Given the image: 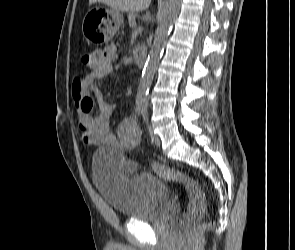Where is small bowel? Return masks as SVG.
<instances>
[{
  "label": "small bowel",
  "instance_id": "1",
  "mask_svg": "<svg viewBox=\"0 0 295 250\" xmlns=\"http://www.w3.org/2000/svg\"><path fill=\"white\" fill-rule=\"evenodd\" d=\"M117 49L114 45L107 46L104 50H95L92 54V62L89 65L91 71L84 78H76L72 85V95L78 114V126L82 133L83 142L87 146L106 145L130 150L135 147L139 139L136 123L128 120L122 123L115 136L110 130V117L115 105L103 99L98 87V82L113 72V60ZM94 95L99 113L94 114ZM130 167H135L134 162H129Z\"/></svg>",
  "mask_w": 295,
  "mask_h": 250
}]
</instances>
